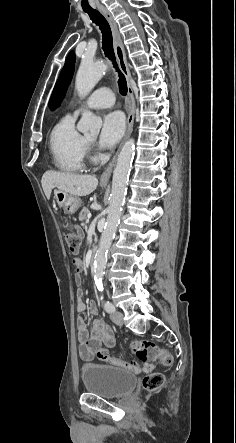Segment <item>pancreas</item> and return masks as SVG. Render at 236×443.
<instances>
[{"instance_id": "cf45deb5", "label": "pancreas", "mask_w": 236, "mask_h": 443, "mask_svg": "<svg viewBox=\"0 0 236 443\" xmlns=\"http://www.w3.org/2000/svg\"><path fill=\"white\" fill-rule=\"evenodd\" d=\"M90 213L89 209L87 207H84L80 213H79V220L85 221L87 218V215Z\"/></svg>"}]
</instances>
